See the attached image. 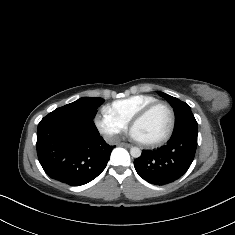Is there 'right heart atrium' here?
I'll use <instances>...</instances> for the list:
<instances>
[{"label": "right heart atrium", "instance_id": "1", "mask_svg": "<svg viewBox=\"0 0 235 235\" xmlns=\"http://www.w3.org/2000/svg\"><path fill=\"white\" fill-rule=\"evenodd\" d=\"M93 121L98 131L110 142H117L119 135L127 129V122L116 116L109 105H102Z\"/></svg>", "mask_w": 235, "mask_h": 235}]
</instances>
